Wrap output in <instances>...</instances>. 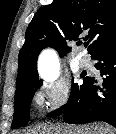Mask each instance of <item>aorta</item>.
Wrapping results in <instances>:
<instances>
[{
	"label": "aorta",
	"instance_id": "obj_1",
	"mask_svg": "<svg viewBox=\"0 0 116 134\" xmlns=\"http://www.w3.org/2000/svg\"><path fill=\"white\" fill-rule=\"evenodd\" d=\"M39 74L46 82H53L59 76V62L57 55L52 50H45L39 58Z\"/></svg>",
	"mask_w": 116,
	"mask_h": 134
}]
</instances>
